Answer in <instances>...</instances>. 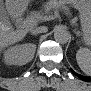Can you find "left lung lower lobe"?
Segmentation results:
<instances>
[{"label":"left lung lower lobe","instance_id":"left-lung-lower-lobe-1","mask_svg":"<svg viewBox=\"0 0 91 91\" xmlns=\"http://www.w3.org/2000/svg\"><path fill=\"white\" fill-rule=\"evenodd\" d=\"M72 72H73L75 75H77V76L83 78L81 75L76 74L73 70H72Z\"/></svg>","mask_w":91,"mask_h":91}]
</instances>
